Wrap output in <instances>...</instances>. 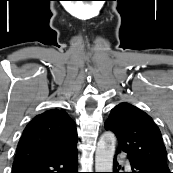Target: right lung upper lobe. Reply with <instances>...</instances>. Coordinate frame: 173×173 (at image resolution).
I'll list each match as a JSON object with an SVG mask.
<instances>
[{
	"instance_id": "obj_1",
	"label": "right lung upper lobe",
	"mask_w": 173,
	"mask_h": 173,
	"mask_svg": "<svg viewBox=\"0 0 173 173\" xmlns=\"http://www.w3.org/2000/svg\"><path fill=\"white\" fill-rule=\"evenodd\" d=\"M76 146L75 122L62 109H50L35 116L26 126L14 163L65 153Z\"/></svg>"
}]
</instances>
